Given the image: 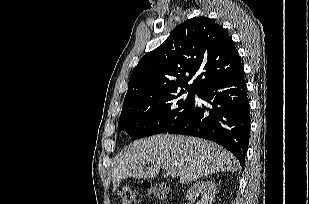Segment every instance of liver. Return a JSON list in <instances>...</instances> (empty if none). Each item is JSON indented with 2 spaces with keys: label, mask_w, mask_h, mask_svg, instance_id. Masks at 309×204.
I'll return each instance as SVG.
<instances>
[{
  "label": "liver",
  "mask_w": 309,
  "mask_h": 204,
  "mask_svg": "<svg viewBox=\"0 0 309 204\" xmlns=\"http://www.w3.org/2000/svg\"><path fill=\"white\" fill-rule=\"evenodd\" d=\"M161 167L173 168L180 183L239 169L237 159L216 143L195 137L159 134L129 145L112 171L113 190L127 178H154Z\"/></svg>",
  "instance_id": "liver-1"
}]
</instances>
